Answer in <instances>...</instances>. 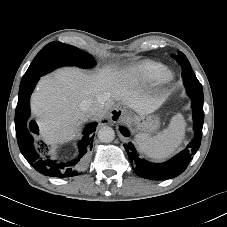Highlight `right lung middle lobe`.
I'll list each match as a JSON object with an SVG mask.
<instances>
[{
	"label": "right lung middle lobe",
	"instance_id": "right-lung-middle-lobe-1",
	"mask_svg": "<svg viewBox=\"0 0 227 227\" xmlns=\"http://www.w3.org/2000/svg\"><path fill=\"white\" fill-rule=\"evenodd\" d=\"M65 65L89 68L95 65V60L90 54L74 46L58 41L51 42L36 55L24 74L20 86Z\"/></svg>",
	"mask_w": 227,
	"mask_h": 227
}]
</instances>
